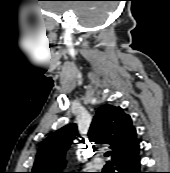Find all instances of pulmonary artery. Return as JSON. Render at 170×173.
I'll return each instance as SVG.
<instances>
[{
	"label": "pulmonary artery",
	"mask_w": 170,
	"mask_h": 173,
	"mask_svg": "<svg viewBox=\"0 0 170 173\" xmlns=\"http://www.w3.org/2000/svg\"><path fill=\"white\" fill-rule=\"evenodd\" d=\"M92 163H93L94 167L97 169H101L104 165V162L98 158L94 159Z\"/></svg>",
	"instance_id": "pulmonary-artery-1"
}]
</instances>
